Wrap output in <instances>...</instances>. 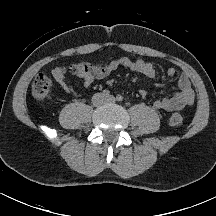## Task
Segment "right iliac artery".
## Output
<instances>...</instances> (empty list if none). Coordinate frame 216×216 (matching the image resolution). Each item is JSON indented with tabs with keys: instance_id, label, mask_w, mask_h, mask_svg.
<instances>
[{
	"instance_id": "obj_1",
	"label": "right iliac artery",
	"mask_w": 216,
	"mask_h": 216,
	"mask_svg": "<svg viewBox=\"0 0 216 216\" xmlns=\"http://www.w3.org/2000/svg\"><path fill=\"white\" fill-rule=\"evenodd\" d=\"M102 95L107 98L110 96V91L109 90H103Z\"/></svg>"
}]
</instances>
